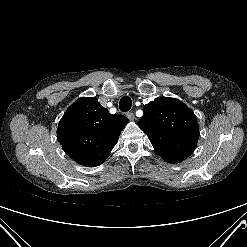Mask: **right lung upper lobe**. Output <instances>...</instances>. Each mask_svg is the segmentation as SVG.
<instances>
[{"label":"right lung upper lobe","mask_w":247,"mask_h":247,"mask_svg":"<svg viewBox=\"0 0 247 247\" xmlns=\"http://www.w3.org/2000/svg\"><path fill=\"white\" fill-rule=\"evenodd\" d=\"M128 122L123 115H111L96 98L83 97L63 115L57 138L74 161L95 167L106 160Z\"/></svg>","instance_id":"right-lung-upper-lobe-1"}]
</instances>
